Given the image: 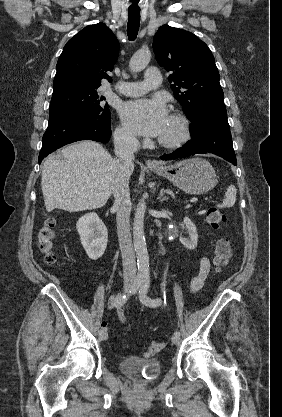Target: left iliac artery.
<instances>
[{"instance_id":"44dca946","label":"left iliac artery","mask_w":282,"mask_h":417,"mask_svg":"<svg viewBox=\"0 0 282 417\" xmlns=\"http://www.w3.org/2000/svg\"><path fill=\"white\" fill-rule=\"evenodd\" d=\"M149 285H150V279L148 277L144 278L143 282H142V286L139 290V299L146 306H150V307L159 306L161 304V299H159V298L151 299L147 296V291H148ZM174 335H179L180 336V332L176 331L174 333Z\"/></svg>"}]
</instances>
